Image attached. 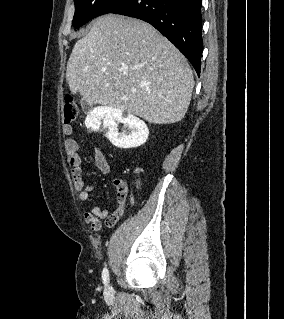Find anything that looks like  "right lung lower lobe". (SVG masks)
Here are the masks:
<instances>
[{
  "label": "right lung lower lobe",
  "mask_w": 284,
  "mask_h": 319,
  "mask_svg": "<svg viewBox=\"0 0 284 319\" xmlns=\"http://www.w3.org/2000/svg\"><path fill=\"white\" fill-rule=\"evenodd\" d=\"M111 13L150 23L188 58L200 75L201 0H129Z\"/></svg>",
  "instance_id": "1"
}]
</instances>
